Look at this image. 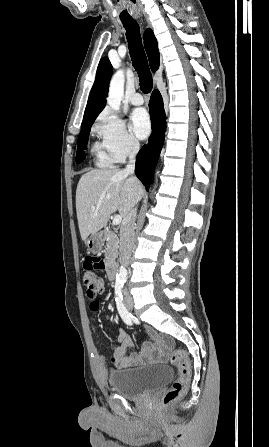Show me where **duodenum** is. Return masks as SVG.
<instances>
[{
    "instance_id": "duodenum-1",
    "label": "duodenum",
    "mask_w": 269,
    "mask_h": 447,
    "mask_svg": "<svg viewBox=\"0 0 269 447\" xmlns=\"http://www.w3.org/2000/svg\"><path fill=\"white\" fill-rule=\"evenodd\" d=\"M108 279L114 281L116 278V266L114 262H109L106 266Z\"/></svg>"
}]
</instances>
